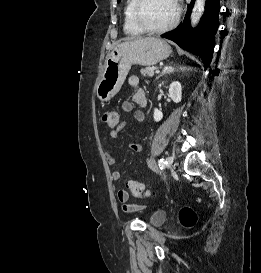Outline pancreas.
<instances>
[{"label": "pancreas", "mask_w": 261, "mask_h": 273, "mask_svg": "<svg viewBox=\"0 0 261 273\" xmlns=\"http://www.w3.org/2000/svg\"><path fill=\"white\" fill-rule=\"evenodd\" d=\"M157 68L152 66V67H145L143 69L140 70L141 74L144 75V76H149V77H152L154 76V71L156 70Z\"/></svg>", "instance_id": "cf45deb5"}]
</instances>
